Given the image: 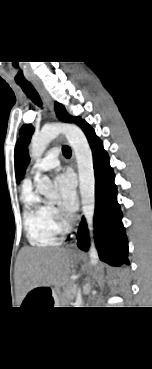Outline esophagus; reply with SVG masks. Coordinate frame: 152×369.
I'll use <instances>...</instances> for the list:
<instances>
[{"instance_id":"obj_1","label":"esophagus","mask_w":152,"mask_h":369,"mask_svg":"<svg viewBox=\"0 0 152 369\" xmlns=\"http://www.w3.org/2000/svg\"><path fill=\"white\" fill-rule=\"evenodd\" d=\"M34 86L36 87V89L38 90V92L43 97V99L46 102L48 108L50 109L52 115L55 116L54 105H53V102H52L50 96L47 94V92L45 91V89L40 84L34 83ZM76 237H77V230H75V232L71 235V241H70V244H69L71 247H75V245H76Z\"/></svg>"}]
</instances>
